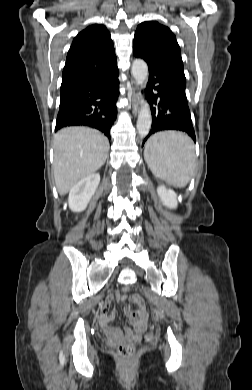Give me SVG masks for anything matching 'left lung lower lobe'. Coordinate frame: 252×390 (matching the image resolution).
I'll use <instances>...</instances> for the list:
<instances>
[{
  "instance_id": "1",
  "label": "left lung lower lobe",
  "mask_w": 252,
  "mask_h": 390,
  "mask_svg": "<svg viewBox=\"0 0 252 390\" xmlns=\"http://www.w3.org/2000/svg\"><path fill=\"white\" fill-rule=\"evenodd\" d=\"M134 56L139 58L135 54ZM148 69L149 81L146 92L151 105L152 128L143 145L150 135L163 130L183 131L196 141L185 94L186 82L161 68L148 66Z\"/></svg>"
}]
</instances>
